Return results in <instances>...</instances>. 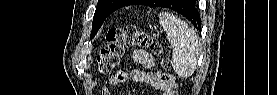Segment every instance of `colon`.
<instances>
[{
	"label": "colon",
	"instance_id": "obj_1",
	"mask_svg": "<svg viewBox=\"0 0 277 95\" xmlns=\"http://www.w3.org/2000/svg\"><path fill=\"white\" fill-rule=\"evenodd\" d=\"M128 48H147L155 54H161V45L152 36L140 30L136 26H126L123 28H111L106 34V45L98 54V70L101 74H110L119 65L121 56ZM164 70L158 74L160 81H167L166 70L171 68L168 58L162 59Z\"/></svg>",
	"mask_w": 277,
	"mask_h": 95
}]
</instances>
